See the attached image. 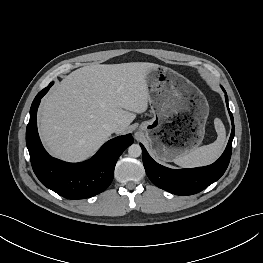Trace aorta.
Segmentation results:
<instances>
[{
  "label": "aorta",
  "mask_w": 263,
  "mask_h": 263,
  "mask_svg": "<svg viewBox=\"0 0 263 263\" xmlns=\"http://www.w3.org/2000/svg\"><path fill=\"white\" fill-rule=\"evenodd\" d=\"M128 154L131 157H139L142 154V150L139 144H132L128 148Z\"/></svg>",
  "instance_id": "aorta-1"
}]
</instances>
